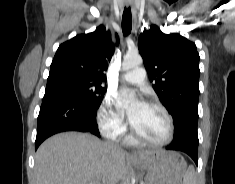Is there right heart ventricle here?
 I'll use <instances>...</instances> for the list:
<instances>
[{
  "label": "right heart ventricle",
  "instance_id": "obj_1",
  "mask_svg": "<svg viewBox=\"0 0 235 184\" xmlns=\"http://www.w3.org/2000/svg\"><path fill=\"white\" fill-rule=\"evenodd\" d=\"M125 142H126V143H130V144L135 143V141L133 140V138H132L131 136H127V137L125 138Z\"/></svg>",
  "mask_w": 235,
  "mask_h": 184
}]
</instances>
